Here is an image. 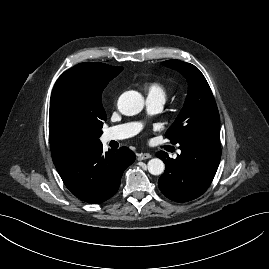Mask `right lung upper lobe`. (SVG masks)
I'll list each match as a JSON object with an SVG mask.
<instances>
[{
    "label": "right lung upper lobe",
    "instance_id": "cb5924a9",
    "mask_svg": "<svg viewBox=\"0 0 269 269\" xmlns=\"http://www.w3.org/2000/svg\"><path fill=\"white\" fill-rule=\"evenodd\" d=\"M122 70V67H113L99 62L80 63L64 72V75L74 73V76L71 79H64V76L59 78L52 93L60 91L71 104L84 105L102 117L106 115L101 102L102 91Z\"/></svg>",
    "mask_w": 269,
    "mask_h": 269
}]
</instances>
